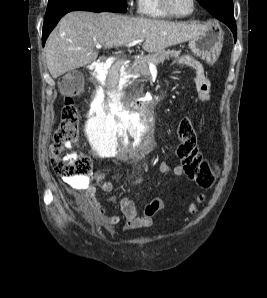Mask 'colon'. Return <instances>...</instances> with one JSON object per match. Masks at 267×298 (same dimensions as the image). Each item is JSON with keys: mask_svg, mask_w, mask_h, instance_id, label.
Here are the masks:
<instances>
[{"mask_svg": "<svg viewBox=\"0 0 267 298\" xmlns=\"http://www.w3.org/2000/svg\"><path fill=\"white\" fill-rule=\"evenodd\" d=\"M59 88L64 98L61 119L54 133L51 147V164L54 171L62 178L72 180L86 179L90 173L91 163L88 157L70 156L67 149L75 141L78 133V111L73 99L82 89V77L78 73H68L61 77ZM179 146L177 153L181 159L186 175L202 187H210L216 179V168L202 155L198 147L197 134L192 121L182 117L176 130ZM203 200L199 196L196 203L190 205L188 212L195 214Z\"/></svg>", "mask_w": 267, "mask_h": 298, "instance_id": "5ec220e1", "label": "colon"}]
</instances>
